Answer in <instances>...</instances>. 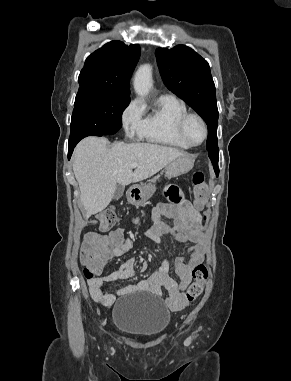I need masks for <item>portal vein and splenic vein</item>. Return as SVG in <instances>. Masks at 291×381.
Returning a JSON list of instances; mask_svg holds the SVG:
<instances>
[{
    "label": "portal vein and splenic vein",
    "mask_w": 291,
    "mask_h": 381,
    "mask_svg": "<svg viewBox=\"0 0 291 381\" xmlns=\"http://www.w3.org/2000/svg\"><path fill=\"white\" fill-rule=\"evenodd\" d=\"M137 166H138L137 163H132V164H131V167H132V168H136Z\"/></svg>",
    "instance_id": "portal-vein-and-splenic-vein-1"
}]
</instances>
